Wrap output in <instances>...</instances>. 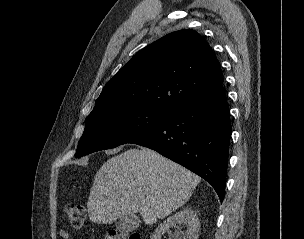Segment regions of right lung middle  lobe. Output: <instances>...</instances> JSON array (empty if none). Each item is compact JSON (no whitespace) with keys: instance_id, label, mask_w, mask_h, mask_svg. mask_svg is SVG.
<instances>
[{"instance_id":"1","label":"right lung middle lobe","mask_w":304,"mask_h":239,"mask_svg":"<svg viewBox=\"0 0 304 239\" xmlns=\"http://www.w3.org/2000/svg\"><path fill=\"white\" fill-rule=\"evenodd\" d=\"M169 115L148 107H128L89 116L75 157L129 143L162 124Z\"/></svg>"}]
</instances>
